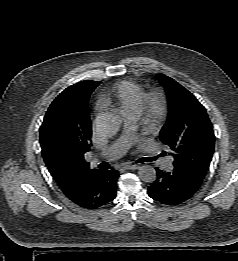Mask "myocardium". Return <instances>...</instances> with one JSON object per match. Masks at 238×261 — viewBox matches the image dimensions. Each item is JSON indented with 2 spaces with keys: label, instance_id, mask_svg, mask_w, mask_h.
Wrapping results in <instances>:
<instances>
[{
  "label": "myocardium",
  "instance_id": "obj_1",
  "mask_svg": "<svg viewBox=\"0 0 238 261\" xmlns=\"http://www.w3.org/2000/svg\"><path fill=\"white\" fill-rule=\"evenodd\" d=\"M168 114V99L160 88H153L144 93L139 113L141 125L146 131L158 129Z\"/></svg>",
  "mask_w": 238,
  "mask_h": 261
}]
</instances>
